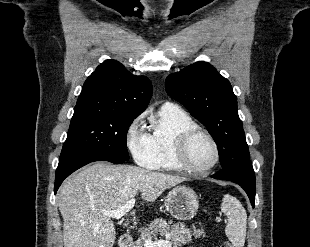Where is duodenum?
Instances as JSON below:
<instances>
[{
	"label": "duodenum",
	"mask_w": 310,
	"mask_h": 247,
	"mask_svg": "<svg viewBox=\"0 0 310 247\" xmlns=\"http://www.w3.org/2000/svg\"><path fill=\"white\" fill-rule=\"evenodd\" d=\"M119 247H131L132 238L129 234H123L119 238Z\"/></svg>",
	"instance_id": "1"
}]
</instances>
